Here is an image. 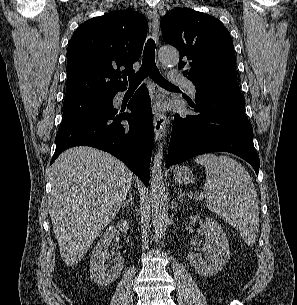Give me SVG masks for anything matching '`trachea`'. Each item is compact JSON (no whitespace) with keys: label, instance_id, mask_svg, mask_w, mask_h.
<instances>
[{"label":"trachea","instance_id":"obj_1","mask_svg":"<svg viewBox=\"0 0 297 305\" xmlns=\"http://www.w3.org/2000/svg\"><path fill=\"white\" fill-rule=\"evenodd\" d=\"M150 76L158 85L162 87H176L175 85L168 82L159 72L155 63V42L152 39H148L144 52L142 65L139 71L129 76L130 86L139 85L146 77Z\"/></svg>","mask_w":297,"mask_h":305}]
</instances>
